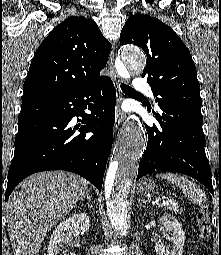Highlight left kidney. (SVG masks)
<instances>
[{"instance_id":"5707ae66","label":"left kidney","mask_w":221,"mask_h":255,"mask_svg":"<svg viewBox=\"0 0 221 255\" xmlns=\"http://www.w3.org/2000/svg\"><path fill=\"white\" fill-rule=\"evenodd\" d=\"M161 224L165 231L171 235V249L166 248L161 242H157L154 246L157 255H183V246L185 242V233L181 224L172 216H162Z\"/></svg>"}]
</instances>
